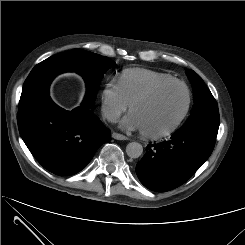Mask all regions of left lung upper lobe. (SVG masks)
Instances as JSON below:
<instances>
[{
  "label": "left lung upper lobe",
  "mask_w": 245,
  "mask_h": 245,
  "mask_svg": "<svg viewBox=\"0 0 245 245\" xmlns=\"http://www.w3.org/2000/svg\"><path fill=\"white\" fill-rule=\"evenodd\" d=\"M186 73L193 86L194 107L188 120L176 132L201 130L217 135L220 117L216 100L197 73L192 70Z\"/></svg>",
  "instance_id": "5c2ea615"
}]
</instances>
